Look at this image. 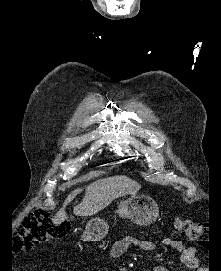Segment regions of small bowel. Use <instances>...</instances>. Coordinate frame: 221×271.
<instances>
[{"label":"small bowel","instance_id":"c3829d8e","mask_svg":"<svg viewBox=\"0 0 221 271\" xmlns=\"http://www.w3.org/2000/svg\"><path fill=\"white\" fill-rule=\"evenodd\" d=\"M164 245L170 246L180 254L182 263L191 269L197 268L198 260L196 256V249L194 247H187L183 241L172 238H165L162 240ZM130 246H134L145 252H152L155 249L153 241L148 239H139L132 236H126L117 240L110 250L112 258L122 256ZM116 271H127L125 268H118ZM153 271H169V268L163 265L155 266Z\"/></svg>","mask_w":221,"mask_h":271}]
</instances>
